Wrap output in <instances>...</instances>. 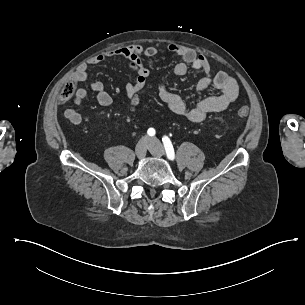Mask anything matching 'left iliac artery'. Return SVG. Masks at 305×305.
I'll return each instance as SVG.
<instances>
[{"label":"left iliac artery","instance_id":"obj_1","mask_svg":"<svg viewBox=\"0 0 305 305\" xmlns=\"http://www.w3.org/2000/svg\"><path fill=\"white\" fill-rule=\"evenodd\" d=\"M162 141H163V144H164V147H165L167 158L170 159V160H174V149H173V146H172V143H171L170 139L165 136V137L162 138Z\"/></svg>","mask_w":305,"mask_h":305}]
</instances>
